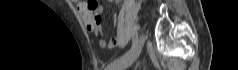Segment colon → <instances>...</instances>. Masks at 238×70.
Segmentation results:
<instances>
[{
  "mask_svg": "<svg viewBox=\"0 0 238 70\" xmlns=\"http://www.w3.org/2000/svg\"><path fill=\"white\" fill-rule=\"evenodd\" d=\"M92 5L97 4L96 1H90Z\"/></svg>",
  "mask_w": 238,
  "mask_h": 70,
  "instance_id": "colon-1",
  "label": "colon"
}]
</instances>
